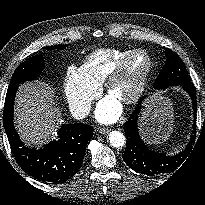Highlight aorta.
<instances>
[{
  "mask_svg": "<svg viewBox=\"0 0 205 205\" xmlns=\"http://www.w3.org/2000/svg\"><path fill=\"white\" fill-rule=\"evenodd\" d=\"M110 145L115 148H120L125 145V136L119 131H111L109 133Z\"/></svg>",
  "mask_w": 205,
  "mask_h": 205,
  "instance_id": "obj_1",
  "label": "aorta"
}]
</instances>
